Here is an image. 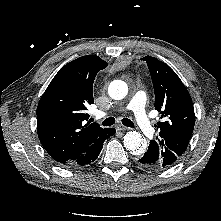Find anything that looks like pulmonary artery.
I'll return each instance as SVG.
<instances>
[{
  "label": "pulmonary artery",
  "mask_w": 221,
  "mask_h": 221,
  "mask_svg": "<svg viewBox=\"0 0 221 221\" xmlns=\"http://www.w3.org/2000/svg\"><path fill=\"white\" fill-rule=\"evenodd\" d=\"M145 104L146 94L143 91H138L129 102L127 109L133 112L135 121L140 130L146 136H150L153 134L154 128L151 119L146 112Z\"/></svg>",
  "instance_id": "1"
}]
</instances>
